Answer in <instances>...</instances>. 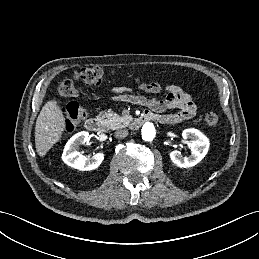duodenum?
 Returning a JSON list of instances; mask_svg holds the SVG:
<instances>
[{
    "label": "duodenum",
    "instance_id": "410a0bca",
    "mask_svg": "<svg viewBox=\"0 0 259 259\" xmlns=\"http://www.w3.org/2000/svg\"><path fill=\"white\" fill-rule=\"evenodd\" d=\"M153 117L151 114L149 113H143L141 115H139L138 117H136L132 124H131V128L133 129H138L140 128L146 121L151 120ZM85 126L87 128V130L93 132V133H103L105 131V125L104 122L97 117H92L89 118L86 123Z\"/></svg>",
    "mask_w": 259,
    "mask_h": 259
}]
</instances>
